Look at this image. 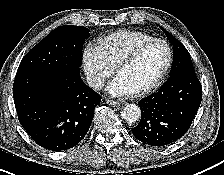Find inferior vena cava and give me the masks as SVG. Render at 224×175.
<instances>
[{"label":"inferior vena cava","instance_id":"1","mask_svg":"<svg viewBox=\"0 0 224 175\" xmlns=\"http://www.w3.org/2000/svg\"><path fill=\"white\" fill-rule=\"evenodd\" d=\"M86 79L89 86L97 90L101 89L104 83L102 78L98 75L89 74Z\"/></svg>","mask_w":224,"mask_h":175}]
</instances>
